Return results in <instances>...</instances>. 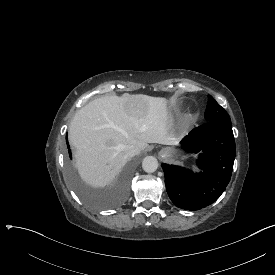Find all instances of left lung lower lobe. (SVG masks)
Instances as JSON below:
<instances>
[{"label":"left lung lower lobe","instance_id":"1","mask_svg":"<svg viewBox=\"0 0 275 275\" xmlns=\"http://www.w3.org/2000/svg\"><path fill=\"white\" fill-rule=\"evenodd\" d=\"M181 144L189 152H199L200 173L163 163L169 198L179 208L199 210L215 202L230 181L236 154L232 125L208 121L193 129Z\"/></svg>","mask_w":275,"mask_h":275}]
</instances>
